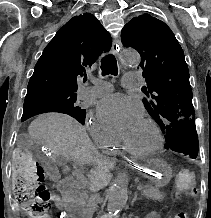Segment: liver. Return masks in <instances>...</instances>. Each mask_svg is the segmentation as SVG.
<instances>
[{
    "instance_id": "1",
    "label": "liver",
    "mask_w": 211,
    "mask_h": 218,
    "mask_svg": "<svg viewBox=\"0 0 211 218\" xmlns=\"http://www.w3.org/2000/svg\"><path fill=\"white\" fill-rule=\"evenodd\" d=\"M28 134L47 146L53 160L64 156L66 160H75L80 164H90V178L94 182L109 184L114 164L101 156L92 146L84 126L65 114H41L31 122Z\"/></svg>"
}]
</instances>
